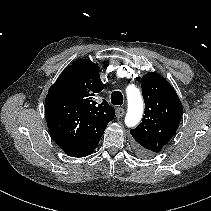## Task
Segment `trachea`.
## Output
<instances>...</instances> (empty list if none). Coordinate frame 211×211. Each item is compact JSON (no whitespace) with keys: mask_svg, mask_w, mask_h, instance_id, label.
I'll return each mask as SVG.
<instances>
[{"mask_svg":"<svg viewBox=\"0 0 211 211\" xmlns=\"http://www.w3.org/2000/svg\"><path fill=\"white\" fill-rule=\"evenodd\" d=\"M111 103L113 105H122L123 104V95L120 91H114L111 94Z\"/></svg>","mask_w":211,"mask_h":211,"instance_id":"trachea-1","label":"trachea"}]
</instances>
